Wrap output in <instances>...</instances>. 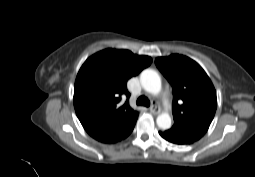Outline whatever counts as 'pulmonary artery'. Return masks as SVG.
<instances>
[{
	"label": "pulmonary artery",
	"instance_id": "obj_1",
	"mask_svg": "<svg viewBox=\"0 0 255 177\" xmlns=\"http://www.w3.org/2000/svg\"><path fill=\"white\" fill-rule=\"evenodd\" d=\"M161 97H162V101H163L164 106L168 110H171L170 93H169V91L167 89L162 92Z\"/></svg>",
	"mask_w": 255,
	"mask_h": 177
}]
</instances>
